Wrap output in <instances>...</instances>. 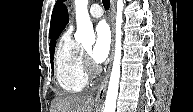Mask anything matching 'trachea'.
I'll return each instance as SVG.
<instances>
[{
	"label": "trachea",
	"instance_id": "obj_1",
	"mask_svg": "<svg viewBox=\"0 0 193 112\" xmlns=\"http://www.w3.org/2000/svg\"><path fill=\"white\" fill-rule=\"evenodd\" d=\"M103 6L105 9H109L110 7V1L109 0H102Z\"/></svg>",
	"mask_w": 193,
	"mask_h": 112
}]
</instances>
